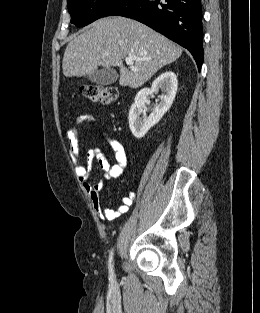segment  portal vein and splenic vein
<instances>
[{"label":"portal vein and splenic vein","mask_w":260,"mask_h":313,"mask_svg":"<svg viewBox=\"0 0 260 313\" xmlns=\"http://www.w3.org/2000/svg\"><path fill=\"white\" fill-rule=\"evenodd\" d=\"M134 60H137V58L136 57H127V58H125L126 64L130 65V67H133Z\"/></svg>","instance_id":"18ae733b"}]
</instances>
